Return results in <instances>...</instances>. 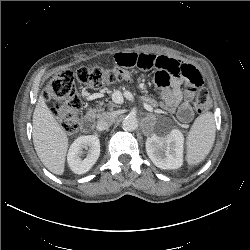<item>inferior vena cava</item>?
<instances>
[{"instance_id":"602c4592","label":"inferior vena cava","mask_w":250,"mask_h":250,"mask_svg":"<svg viewBox=\"0 0 250 250\" xmlns=\"http://www.w3.org/2000/svg\"><path fill=\"white\" fill-rule=\"evenodd\" d=\"M115 117L113 112L104 113L97 122V128L99 130L108 129L113 124Z\"/></svg>"}]
</instances>
